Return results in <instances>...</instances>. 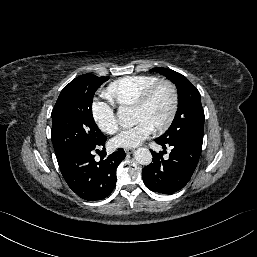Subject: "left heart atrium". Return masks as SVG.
Masks as SVG:
<instances>
[{
  "mask_svg": "<svg viewBox=\"0 0 257 257\" xmlns=\"http://www.w3.org/2000/svg\"><path fill=\"white\" fill-rule=\"evenodd\" d=\"M152 127L144 121L137 122L133 127L123 129L112 143L116 147L133 148L140 145L152 133Z\"/></svg>",
  "mask_w": 257,
  "mask_h": 257,
  "instance_id": "39dd6f15",
  "label": "left heart atrium"
}]
</instances>
